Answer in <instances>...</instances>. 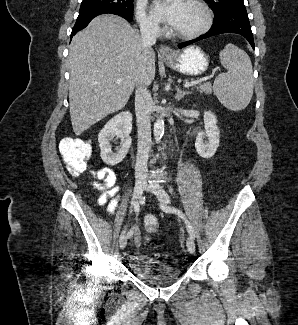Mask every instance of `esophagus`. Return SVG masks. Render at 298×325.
Here are the masks:
<instances>
[{
  "instance_id": "34e87169",
  "label": "esophagus",
  "mask_w": 298,
  "mask_h": 325,
  "mask_svg": "<svg viewBox=\"0 0 298 325\" xmlns=\"http://www.w3.org/2000/svg\"><path fill=\"white\" fill-rule=\"evenodd\" d=\"M159 54L162 58L171 59L173 57V50L172 48L166 45H161L159 49Z\"/></svg>"
}]
</instances>
